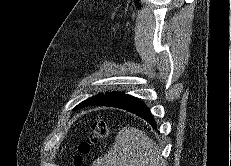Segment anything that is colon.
Here are the masks:
<instances>
[{"label":"colon","mask_w":231,"mask_h":166,"mask_svg":"<svg viewBox=\"0 0 231 166\" xmlns=\"http://www.w3.org/2000/svg\"><path fill=\"white\" fill-rule=\"evenodd\" d=\"M108 135V125L103 119H98L92 128L91 136L79 147L80 155L75 159V166H81L83 163V157L88 155L92 147L99 141L105 139Z\"/></svg>","instance_id":"colon-1"}]
</instances>
